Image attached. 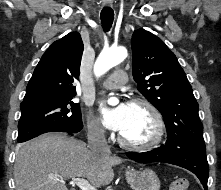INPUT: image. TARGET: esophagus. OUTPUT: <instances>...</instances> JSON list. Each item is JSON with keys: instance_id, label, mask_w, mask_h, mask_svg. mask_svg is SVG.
<instances>
[{"instance_id": "34e87169", "label": "esophagus", "mask_w": 221, "mask_h": 190, "mask_svg": "<svg viewBox=\"0 0 221 190\" xmlns=\"http://www.w3.org/2000/svg\"><path fill=\"white\" fill-rule=\"evenodd\" d=\"M103 4L106 6H110L112 4V0H104Z\"/></svg>"}]
</instances>
